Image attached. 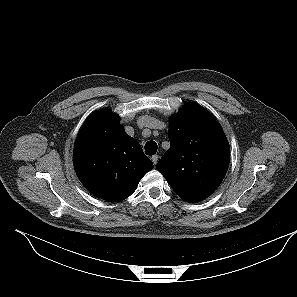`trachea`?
<instances>
[{"label":"trachea","mask_w":297,"mask_h":297,"mask_svg":"<svg viewBox=\"0 0 297 297\" xmlns=\"http://www.w3.org/2000/svg\"><path fill=\"white\" fill-rule=\"evenodd\" d=\"M157 143L155 141H148L145 144V152L147 155H154L157 152Z\"/></svg>","instance_id":"trachea-1"}]
</instances>
